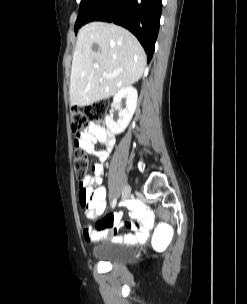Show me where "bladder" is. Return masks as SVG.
I'll return each instance as SVG.
<instances>
[{
	"mask_svg": "<svg viewBox=\"0 0 247 304\" xmlns=\"http://www.w3.org/2000/svg\"><path fill=\"white\" fill-rule=\"evenodd\" d=\"M134 255L131 246L118 242H106L93 250V257L99 261L110 264H123L128 262Z\"/></svg>",
	"mask_w": 247,
	"mask_h": 304,
	"instance_id": "obj_1",
	"label": "bladder"
}]
</instances>
